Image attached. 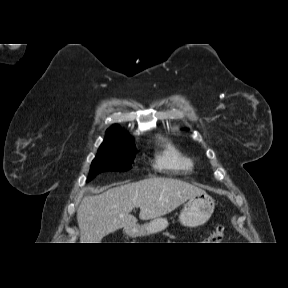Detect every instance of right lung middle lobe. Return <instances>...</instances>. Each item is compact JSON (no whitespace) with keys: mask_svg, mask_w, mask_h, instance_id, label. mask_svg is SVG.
Returning a JSON list of instances; mask_svg holds the SVG:
<instances>
[{"mask_svg":"<svg viewBox=\"0 0 288 288\" xmlns=\"http://www.w3.org/2000/svg\"><path fill=\"white\" fill-rule=\"evenodd\" d=\"M136 150L133 142L123 139L104 141L92 161L87 181L105 171H126L131 168Z\"/></svg>","mask_w":288,"mask_h":288,"instance_id":"dd1d6c3e","label":"right lung middle lobe"}]
</instances>
